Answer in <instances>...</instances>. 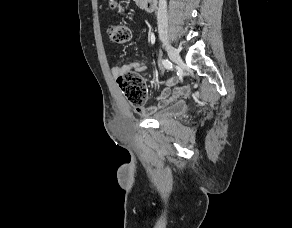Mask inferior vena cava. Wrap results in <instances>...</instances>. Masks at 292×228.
Listing matches in <instances>:
<instances>
[{
    "mask_svg": "<svg viewBox=\"0 0 292 228\" xmlns=\"http://www.w3.org/2000/svg\"><path fill=\"white\" fill-rule=\"evenodd\" d=\"M157 24H158V33L160 40H166L167 36V1L159 0L158 12H157Z\"/></svg>",
    "mask_w": 292,
    "mask_h": 228,
    "instance_id": "1",
    "label": "inferior vena cava"
}]
</instances>
